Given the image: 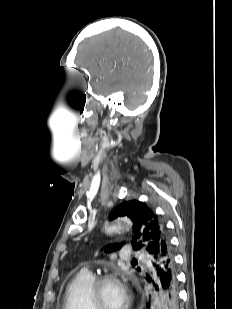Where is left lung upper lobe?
I'll return each instance as SVG.
<instances>
[{"label":"left lung upper lobe","instance_id":"left-lung-upper-lobe-1","mask_svg":"<svg viewBox=\"0 0 232 309\" xmlns=\"http://www.w3.org/2000/svg\"><path fill=\"white\" fill-rule=\"evenodd\" d=\"M127 216L133 222L134 236L131 244L135 250H145L152 259L157 256L162 242H169L163 222L143 202L131 200L118 205L109 215V220ZM125 242L109 245L105 252L119 250ZM137 264L134 259L132 265ZM138 271L141 269L138 267Z\"/></svg>","mask_w":232,"mask_h":309}]
</instances>
